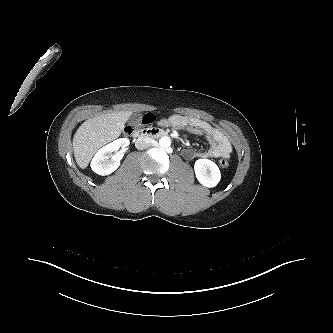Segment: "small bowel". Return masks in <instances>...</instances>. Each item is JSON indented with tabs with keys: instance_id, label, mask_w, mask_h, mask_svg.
Returning <instances> with one entry per match:
<instances>
[{
	"instance_id": "small-bowel-1",
	"label": "small bowel",
	"mask_w": 333,
	"mask_h": 333,
	"mask_svg": "<svg viewBox=\"0 0 333 333\" xmlns=\"http://www.w3.org/2000/svg\"><path fill=\"white\" fill-rule=\"evenodd\" d=\"M158 124L162 127L185 129L207 136L210 147L207 150L186 148L182 152L186 159L227 157L232 151V145L228 137L220 129L205 120L174 114L159 120Z\"/></svg>"
}]
</instances>
